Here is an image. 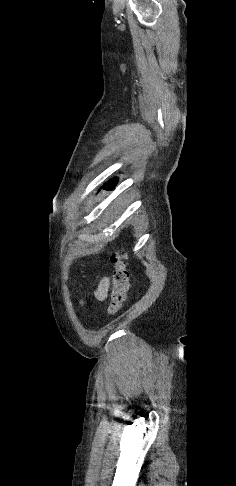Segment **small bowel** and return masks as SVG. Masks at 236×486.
<instances>
[{
	"label": "small bowel",
	"instance_id": "small-bowel-1",
	"mask_svg": "<svg viewBox=\"0 0 236 486\" xmlns=\"http://www.w3.org/2000/svg\"><path fill=\"white\" fill-rule=\"evenodd\" d=\"M109 286H110L109 279L108 278L102 279L99 285L97 286V289L95 290V297L100 301L105 300L108 295Z\"/></svg>",
	"mask_w": 236,
	"mask_h": 486
}]
</instances>
